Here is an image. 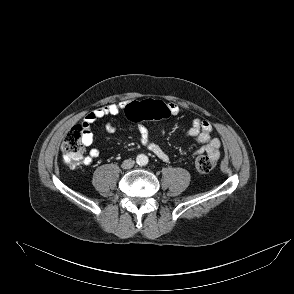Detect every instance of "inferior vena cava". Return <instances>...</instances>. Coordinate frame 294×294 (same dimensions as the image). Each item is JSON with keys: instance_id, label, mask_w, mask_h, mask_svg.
Instances as JSON below:
<instances>
[{"instance_id": "obj_1", "label": "inferior vena cava", "mask_w": 294, "mask_h": 294, "mask_svg": "<svg viewBox=\"0 0 294 294\" xmlns=\"http://www.w3.org/2000/svg\"><path fill=\"white\" fill-rule=\"evenodd\" d=\"M134 164H135V161H134V160H132V159H127V160H124V161H123L121 167H122L123 169H130V168H132V167L134 166Z\"/></svg>"}]
</instances>
